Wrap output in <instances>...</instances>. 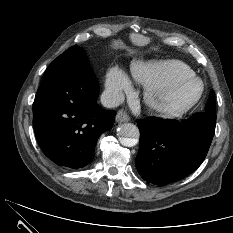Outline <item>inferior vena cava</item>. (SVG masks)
Masks as SVG:
<instances>
[{"label": "inferior vena cava", "instance_id": "602c4592", "mask_svg": "<svg viewBox=\"0 0 233 233\" xmlns=\"http://www.w3.org/2000/svg\"><path fill=\"white\" fill-rule=\"evenodd\" d=\"M123 100V94L118 92L104 91L101 95V103L107 108L117 107L123 102Z\"/></svg>", "mask_w": 233, "mask_h": 233}]
</instances>
